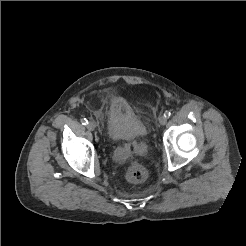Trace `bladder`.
<instances>
[{
  "label": "bladder",
  "instance_id": "bladder-1",
  "mask_svg": "<svg viewBox=\"0 0 246 246\" xmlns=\"http://www.w3.org/2000/svg\"><path fill=\"white\" fill-rule=\"evenodd\" d=\"M106 130L108 138L115 142L137 140L147 132L143 120L119 97L111 98L107 104Z\"/></svg>",
  "mask_w": 246,
  "mask_h": 246
}]
</instances>
